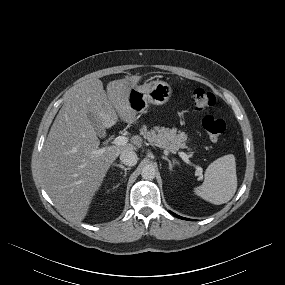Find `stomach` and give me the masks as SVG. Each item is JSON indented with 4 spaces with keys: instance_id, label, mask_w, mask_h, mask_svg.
<instances>
[{
    "instance_id": "obj_1",
    "label": "stomach",
    "mask_w": 285,
    "mask_h": 285,
    "mask_svg": "<svg viewBox=\"0 0 285 285\" xmlns=\"http://www.w3.org/2000/svg\"><path fill=\"white\" fill-rule=\"evenodd\" d=\"M172 96L171 86L161 80H154L141 86H132L128 94L130 107L135 113H143L148 104L163 105Z\"/></svg>"
}]
</instances>
